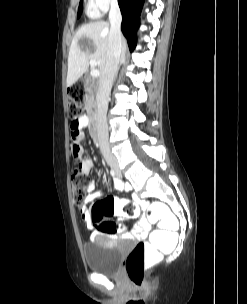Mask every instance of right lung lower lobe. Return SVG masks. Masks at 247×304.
Returning <instances> with one entry per match:
<instances>
[{
    "mask_svg": "<svg viewBox=\"0 0 247 304\" xmlns=\"http://www.w3.org/2000/svg\"><path fill=\"white\" fill-rule=\"evenodd\" d=\"M118 3L122 14L121 30L127 38L130 50L133 51L144 0H118Z\"/></svg>",
    "mask_w": 247,
    "mask_h": 304,
    "instance_id": "98d812e1",
    "label": "right lung lower lobe"
}]
</instances>
